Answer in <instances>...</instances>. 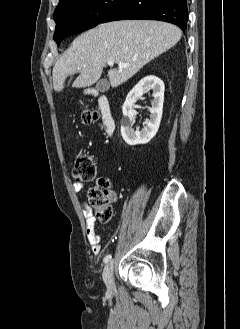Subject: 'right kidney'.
<instances>
[{
    "label": "right kidney",
    "mask_w": 240,
    "mask_h": 329,
    "mask_svg": "<svg viewBox=\"0 0 240 329\" xmlns=\"http://www.w3.org/2000/svg\"><path fill=\"white\" fill-rule=\"evenodd\" d=\"M164 89V83L161 79L149 75L141 79L127 95L122 108L121 135L128 145L146 144L156 135L162 118ZM149 90L153 91L154 98L149 108L150 119H146L141 130L135 131L132 128L136 115L133 106L144 92Z\"/></svg>",
    "instance_id": "right-kidney-1"
}]
</instances>
